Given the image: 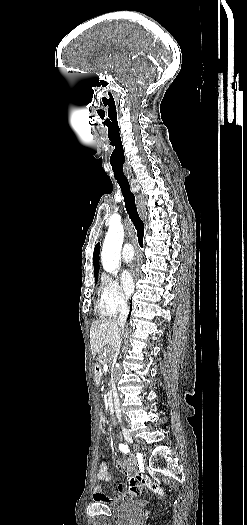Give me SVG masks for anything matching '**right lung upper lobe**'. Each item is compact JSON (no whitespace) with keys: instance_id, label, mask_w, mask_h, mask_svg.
Listing matches in <instances>:
<instances>
[{"instance_id":"obj_1","label":"right lung upper lobe","mask_w":247,"mask_h":525,"mask_svg":"<svg viewBox=\"0 0 247 525\" xmlns=\"http://www.w3.org/2000/svg\"><path fill=\"white\" fill-rule=\"evenodd\" d=\"M99 253H100V243H98L94 248V254H93L94 276H98V272H99Z\"/></svg>"}]
</instances>
